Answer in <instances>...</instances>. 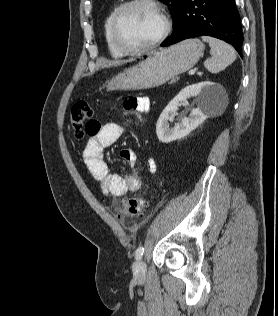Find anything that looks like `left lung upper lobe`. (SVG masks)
Segmentation results:
<instances>
[{
  "label": "left lung upper lobe",
  "mask_w": 278,
  "mask_h": 316,
  "mask_svg": "<svg viewBox=\"0 0 278 316\" xmlns=\"http://www.w3.org/2000/svg\"><path fill=\"white\" fill-rule=\"evenodd\" d=\"M160 1L169 7V10H170L171 15H172V19H173L174 24H175V22L177 21V19L179 17L184 0H160Z\"/></svg>",
  "instance_id": "1"
}]
</instances>
